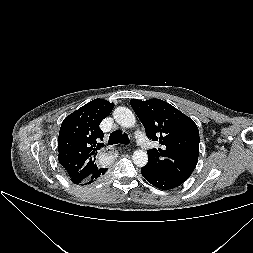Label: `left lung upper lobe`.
Returning a JSON list of instances; mask_svg holds the SVG:
<instances>
[{
	"instance_id": "5c2ea615",
	"label": "left lung upper lobe",
	"mask_w": 253,
	"mask_h": 253,
	"mask_svg": "<svg viewBox=\"0 0 253 253\" xmlns=\"http://www.w3.org/2000/svg\"><path fill=\"white\" fill-rule=\"evenodd\" d=\"M130 104L148 138L159 141V149L148 151L147 166L183 183L194 171L199 155V130L194 121L160 99Z\"/></svg>"
}]
</instances>
